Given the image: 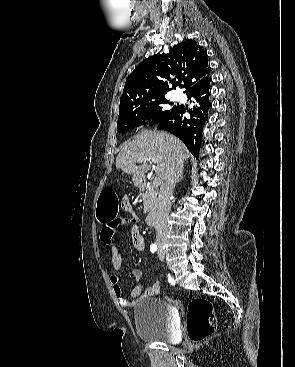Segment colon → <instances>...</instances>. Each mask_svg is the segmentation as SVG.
<instances>
[{
    "label": "colon",
    "mask_w": 295,
    "mask_h": 367,
    "mask_svg": "<svg viewBox=\"0 0 295 367\" xmlns=\"http://www.w3.org/2000/svg\"><path fill=\"white\" fill-rule=\"evenodd\" d=\"M119 205L115 191L111 187L103 188L97 214L99 222L108 223L116 220ZM186 323L189 339L193 342L203 341L212 335L217 327L212 303L204 298L192 300L188 305Z\"/></svg>",
    "instance_id": "colon-1"
}]
</instances>
